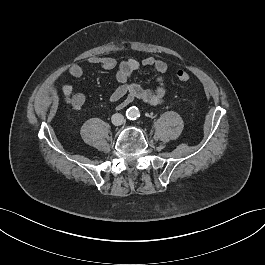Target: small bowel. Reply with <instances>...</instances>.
Returning <instances> with one entry per match:
<instances>
[{"mask_svg":"<svg viewBox=\"0 0 265 265\" xmlns=\"http://www.w3.org/2000/svg\"><path fill=\"white\" fill-rule=\"evenodd\" d=\"M87 64L93 68H101L104 70H116V79L119 86L111 93L109 101L118 103L117 109L125 108L129 103L135 100H141L149 105H161L165 101L166 84L164 74L168 70V64L157 57H146L137 60L130 58L124 60L119 65L114 58L92 56L87 59ZM152 67L157 72L156 86L152 89L143 88L136 83L129 82L132 75L141 67ZM86 69L79 64L70 65L68 72L72 77L79 78L84 75ZM62 92L70 96L71 106L75 109L81 108L85 103V96L82 93H73L71 85H61Z\"/></svg>","mask_w":265,"mask_h":265,"instance_id":"1","label":"small bowel"}]
</instances>
